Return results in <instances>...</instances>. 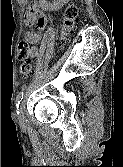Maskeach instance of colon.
Returning <instances> with one entry per match:
<instances>
[{"mask_svg":"<svg viewBox=\"0 0 123 167\" xmlns=\"http://www.w3.org/2000/svg\"><path fill=\"white\" fill-rule=\"evenodd\" d=\"M78 7L74 4L67 6L64 12L63 24H62V41H65L68 33L73 28L78 16ZM30 48L26 42H21L18 46V58L22 61L21 74L24 78L31 77L33 75V63L29 59Z\"/></svg>","mask_w":123,"mask_h":167,"instance_id":"colon-1","label":"colon"}]
</instances>
